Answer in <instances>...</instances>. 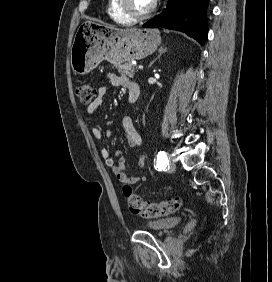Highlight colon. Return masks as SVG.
I'll return each mask as SVG.
<instances>
[{"mask_svg":"<svg viewBox=\"0 0 272 282\" xmlns=\"http://www.w3.org/2000/svg\"><path fill=\"white\" fill-rule=\"evenodd\" d=\"M76 94L83 105L91 104L97 94V86L81 82L76 88ZM122 194L131 213L142 218H159L175 213L181 207L179 197L166 199L160 202H148L134 193L127 183L122 186Z\"/></svg>","mask_w":272,"mask_h":282,"instance_id":"colon-1","label":"colon"}]
</instances>
